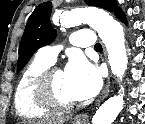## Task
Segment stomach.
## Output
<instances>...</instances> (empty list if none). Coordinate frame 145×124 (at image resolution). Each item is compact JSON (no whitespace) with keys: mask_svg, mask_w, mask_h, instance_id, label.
Here are the masks:
<instances>
[{"mask_svg":"<svg viewBox=\"0 0 145 124\" xmlns=\"http://www.w3.org/2000/svg\"><path fill=\"white\" fill-rule=\"evenodd\" d=\"M72 124H83V123L80 121H74Z\"/></svg>","mask_w":145,"mask_h":124,"instance_id":"obj_1","label":"stomach"}]
</instances>
